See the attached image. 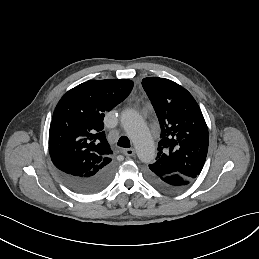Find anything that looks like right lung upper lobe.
Returning a JSON list of instances; mask_svg holds the SVG:
<instances>
[{
    "mask_svg": "<svg viewBox=\"0 0 259 259\" xmlns=\"http://www.w3.org/2000/svg\"><path fill=\"white\" fill-rule=\"evenodd\" d=\"M131 80H89L57 104L49 130V153L58 170L89 176L112 161L104 115L131 92Z\"/></svg>",
    "mask_w": 259,
    "mask_h": 259,
    "instance_id": "right-lung-upper-lobe-1",
    "label": "right lung upper lobe"
}]
</instances>
